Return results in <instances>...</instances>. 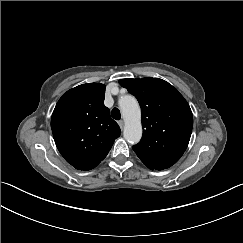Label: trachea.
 <instances>
[{"instance_id": "1", "label": "trachea", "mask_w": 243, "mask_h": 243, "mask_svg": "<svg viewBox=\"0 0 243 243\" xmlns=\"http://www.w3.org/2000/svg\"><path fill=\"white\" fill-rule=\"evenodd\" d=\"M111 116L112 118H114L115 120H120L121 119V113L119 111L118 108H114L111 112Z\"/></svg>"}]
</instances>
